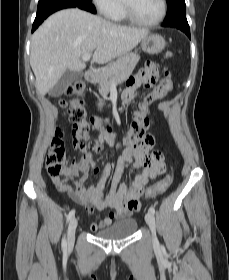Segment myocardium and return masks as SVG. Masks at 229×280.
Listing matches in <instances>:
<instances>
[{
  "mask_svg": "<svg viewBox=\"0 0 229 280\" xmlns=\"http://www.w3.org/2000/svg\"><path fill=\"white\" fill-rule=\"evenodd\" d=\"M162 8H161V13L159 16L153 20L150 21H144L139 18H137L132 10L130 0H122V6H123V11L125 13L126 18L133 24L139 25V26H154L159 24L166 16L167 14V1L166 0H161Z\"/></svg>",
  "mask_w": 229,
  "mask_h": 280,
  "instance_id": "myocardium-1",
  "label": "myocardium"
}]
</instances>
